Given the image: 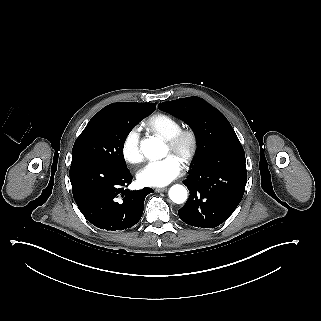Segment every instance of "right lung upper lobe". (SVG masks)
<instances>
[{
  "instance_id": "right-lung-upper-lobe-1",
  "label": "right lung upper lobe",
  "mask_w": 321,
  "mask_h": 321,
  "mask_svg": "<svg viewBox=\"0 0 321 321\" xmlns=\"http://www.w3.org/2000/svg\"><path fill=\"white\" fill-rule=\"evenodd\" d=\"M106 109L116 116L134 118L141 115L151 114L156 109L155 103L118 102L106 106Z\"/></svg>"
}]
</instances>
